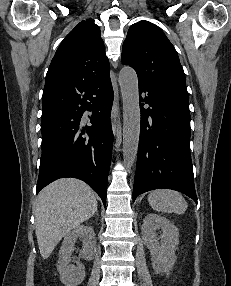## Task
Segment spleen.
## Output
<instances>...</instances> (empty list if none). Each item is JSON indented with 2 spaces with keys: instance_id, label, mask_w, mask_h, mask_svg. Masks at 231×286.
Wrapping results in <instances>:
<instances>
[{
  "instance_id": "1",
  "label": "spleen",
  "mask_w": 231,
  "mask_h": 286,
  "mask_svg": "<svg viewBox=\"0 0 231 286\" xmlns=\"http://www.w3.org/2000/svg\"><path fill=\"white\" fill-rule=\"evenodd\" d=\"M149 205L158 212L183 214L187 202L181 193L170 189H157L148 195Z\"/></svg>"
}]
</instances>
